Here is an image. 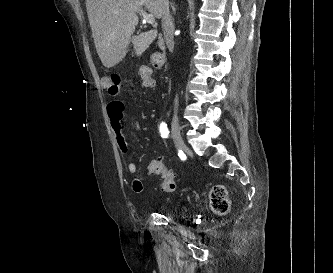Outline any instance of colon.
Returning a JSON list of instances; mask_svg holds the SVG:
<instances>
[{
    "label": "colon",
    "mask_w": 333,
    "mask_h": 273,
    "mask_svg": "<svg viewBox=\"0 0 333 273\" xmlns=\"http://www.w3.org/2000/svg\"><path fill=\"white\" fill-rule=\"evenodd\" d=\"M150 61L154 68L160 69L165 65V55L159 51L154 52L151 55ZM102 84L110 95H117L122 90L121 77L117 74L105 77ZM147 171L149 175L158 179V185L162 191L172 192L175 189L174 175L162 161L158 159L149 160ZM210 204L212 209L219 214H225L229 211L230 203L224 186L216 185L211 189Z\"/></svg>",
    "instance_id": "1"
}]
</instances>
